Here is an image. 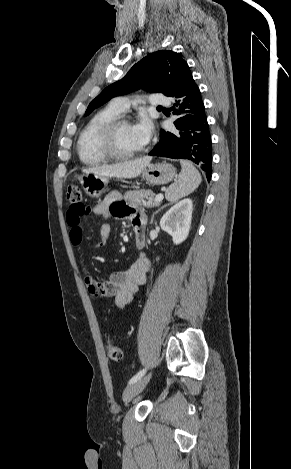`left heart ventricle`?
Listing matches in <instances>:
<instances>
[{
    "mask_svg": "<svg viewBox=\"0 0 291 469\" xmlns=\"http://www.w3.org/2000/svg\"><path fill=\"white\" fill-rule=\"evenodd\" d=\"M116 147L121 152H132L144 147L133 131L131 124L121 125L116 132Z\"/></svg>",
    "mask_w": 291,
    "mask_h": 469,
    "instance_id": "b2bd125f",
    "label": "left heart ventricle"
}]
</instances>
